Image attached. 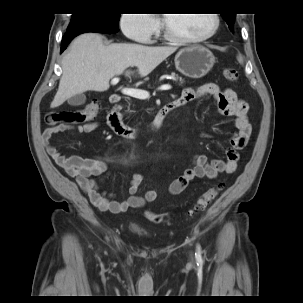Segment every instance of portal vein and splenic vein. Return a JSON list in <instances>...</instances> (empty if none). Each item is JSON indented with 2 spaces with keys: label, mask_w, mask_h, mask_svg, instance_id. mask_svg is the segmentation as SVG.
Segmentation results:
<instances>
[{
  "label": "portal vein and splenic vein",
  "mask_w": 303,
  "mask_h": 303,
  "mask_svg": "<svg viewBox=\"0 0 303 303\" xmlns=\"http://www.w3.org/2000/svg\"><path fill=\"white\" fill-rule=\"evenodd\" d=\"M119 82V78L115 77L111 80V84L112 85H116ZM171 89V85L169 84H164L161 85L158 90H170ZM122 93L137 99H148L150 97V93L146 90H142V89H134V88H124L122 89Z\"/></svg>",
  "instance_id": "obj_1"
}]
</instances>
